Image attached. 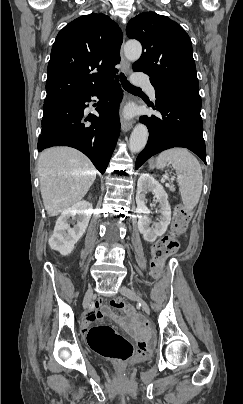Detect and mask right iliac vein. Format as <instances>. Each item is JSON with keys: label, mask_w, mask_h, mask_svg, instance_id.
I'll return each instance as SVG.
<instances>
[{"label": "right iliac vein", "mask_w": 243, "mask_h": 404, "mask_svg": "<svg viewBox=\"0 0 243 404\" xmlns=\"http://www.w3.org/2000/svg\"><path fill=\"white\" fill-rule=\"evenodd\" d=\"M92 295H93V289H92V288H89V289L87 290V292H86V294H85V296H84V300H83V308H84V309H87V308H88V306H89V304H90V301H91V299H92Z\"/></svg>", "instance_id": "63e3f726"}]
</instances>
